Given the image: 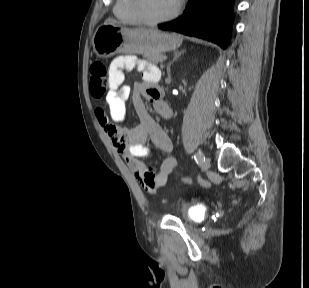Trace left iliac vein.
I'll return each mask as SVG.
<instances>
[{
    "instance_id": "obj_1",
    "label": "left iliac vein",
    "mask_w": 309,
    "mask_h": 288,
    "mask_svg": "<svg viewBox=\"0 0 309 288\" xmlns=\"http://www.w3.org/2000/svg\"><path fill=\"white\" fill-rule=\"evenodd\" d=\"M210 167V159L206 158L205 161L202 162V169L208 170Z\"/></svg>"
}]
</instances>
